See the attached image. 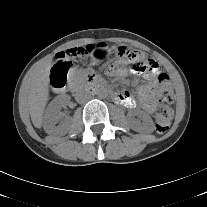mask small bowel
Here are the masks:
<instances>
[{
	"label": "small bowel",
	"mask_w": 207,
	"mask_h": 207,
	"mask_svg": "<svg viewBox=\"0 0 207 207\" xmlns=\"http://www.w3.org/2000/svg\"><path fill=\"white\" fill-rule=\"evenodd\" d=\"M128 71L132 73H143L140 70L132 69L129 66V64L128 67L125 66L111 67L108 69L107 73L110 76H124ZM156 92H157V84L154 81L150 82L149 84L139 89V102L142 108L149 113H151L154 109V100H155ZM113 98L115 99V101L121 103L122 105L128 108H133L137 104L136 100L127 91H116L114 92Z\"/></svg>",
	"instance_id": "c3829d8e"
}]
</instances>
